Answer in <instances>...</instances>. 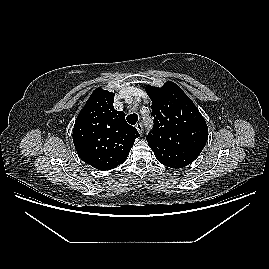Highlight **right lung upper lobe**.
<instances>
[{"label":"right lung upper lobe","instance_id":"obj_1","mask_svg":"<svg viewBox=\"0 0 269 269\" xmlns=\"http://www.w3.org/2000/svg\"><path fill=\"white\" fill-rule=\"evenodd\" d=\"M114 94L97 88L80 111L73 129L79 157L98 170H110L125 161L140 135L113 107Z\"/></svg>","mask_w":269,"mask_h":269}]
</instances>
